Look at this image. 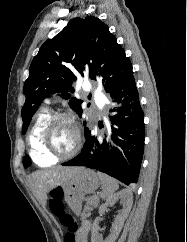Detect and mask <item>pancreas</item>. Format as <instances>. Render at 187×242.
<instances>
[{
  "mask_svg": "<svg viewBox=\"0 0 187 242\" xmlns=\"http://www.w3.org/2000/svg\"><path fill=\"white\" fill-rule=\"evenodd\" d=\"M99 197L94 195L86 199V205L84 207V214H88L93 208L98 206Z\"/></svg>",
  "mask_w": 187,
  "mask_h": 242,
  "instance_id": "cf45deb5",
  "label": "pancreas"
}]
</instances>
